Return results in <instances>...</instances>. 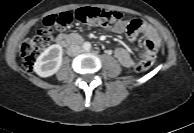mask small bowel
Returning a JSON list of instances; mask_svg holds the SVG:
<instances>
[{
	"label": "small bowel",
	"mask_w": 194,
	"mask_h": 133,
	"mask_svg": "<svg viewBox=\"0 0 194 133\" xmlns=\"http://www.w3.org/2000/svg\"><path fill=\"white\" fill-rule=\"evenodd\" d=\"M112 29L119 33H126L131 42H135L138 36L142 34L144 36L145 49L142 57L146 55L155 57L157 54L161 40L157 30L149 23L140 19H132L124 21L122 25L113 27ZM114 55L120 64L126 68H132L135 65L133 58L125 48H115Z\"/></svg>",
	"instance_id": "obj_1"
}]
</instances>
